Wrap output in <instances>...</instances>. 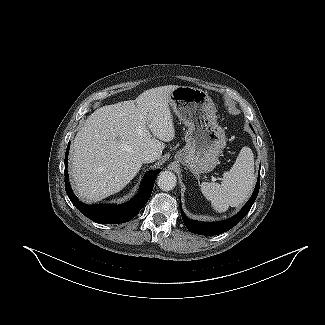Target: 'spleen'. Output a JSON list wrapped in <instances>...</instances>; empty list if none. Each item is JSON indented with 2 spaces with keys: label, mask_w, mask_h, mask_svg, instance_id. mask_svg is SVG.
Here are the masks:
<instances>
[{
  "label": "spleen",
  "mask_w": 325,
  "mask_h": 325,
  "mask_svg": "<svg viewBox=\"0 0 325 325\" xmlns=\"http://www.w3.org/2000/svg\"><path fill=\"white\" fill-rule=\"evenodd\" d=\"M255 183L254 156L249 147H243L236 162L223 173L221 184L202 182V194L216 211L241 205L251 194Z\"/></svg>",
  "instance_id": "1"
}]
</instances>
